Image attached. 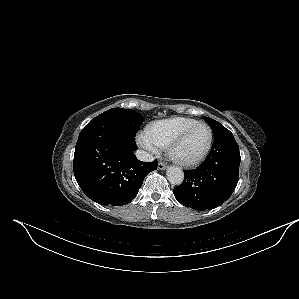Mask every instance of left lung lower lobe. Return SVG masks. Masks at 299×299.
Listing matches in <instances>:
<instances>
[{"instance_id":"obj_1","label":"left lung lower lobe","mask_w":299,"mask_h":299,"mask_svg":"<svg viewBox=\"0 0 299 299\" xmlns=\"http://www.w3.org/2000/svg\"><path fill=\"white\" fill-rule=\"evenodd\" d=\"M239 146L225 129L214 135L210 153L198 168L184 171V182L173 191L185 207L202 211L222 205L239 180Z\"/></svg>"}]
</instances>
